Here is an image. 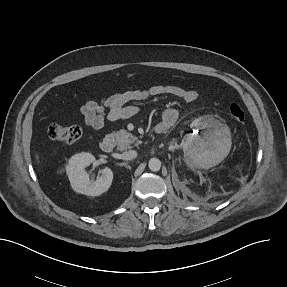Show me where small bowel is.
Returning <instances> with one entry per match:
<instances>
[{
    "label": "small bowel",
    "instance_id": "obj_1",
    "mask_svg": "<svg viewBox=\"0 0 287 287\" xmlns=\"http://www.w3.org/2000/svg\"><path fill=\"white\" fill-rule=\"evenodd\" d=\"M160 96H170L193 103L198 99L197 91L172 84H154L144 89L126 90L100 101L89 100L80 108V113L87 126L94 130H102L106 121L115 122L134 116L138 112L137 102ZM178 111L175 108L165 109L155 129L159 126L164 131L171 128L178 120Z\"/></svg>",
    "mask_w": 287,
    "mask_h": 287
}]
</instances>
